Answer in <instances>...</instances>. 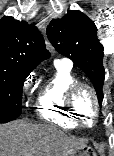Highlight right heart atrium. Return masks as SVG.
I'll list each match as a JSON object with an SVG mask.
<instances>
[{
  "mask_svg": "<svg viewBox=\"0 0 114 156\" xmlns=\"http://www.w3.org/2000/svg\"><path fill=\"white\" fill-rule=\"evenodd\" d=\"M31 87V78H27L26 81L23 84V91L24 93H27L30 90Z\"/></svg>",
  "mask_w": 114,
  "mask_h": 156,
  "instance_id": "right-heart-atrium-1",
  "label": "right heart atrium"
}]
</instances>
